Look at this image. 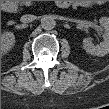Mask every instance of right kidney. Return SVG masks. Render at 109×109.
<instances>
[{"label": "right kidney", "mask_w": 109, "mask_h": 109, "mask_svg": "<svg viewBox=\"0 0 109 109\" xmlns=\"http://www.w3.org/2000/svg\"><path fill=\"white\" fill-rule=\"evenodd\" d=\"M15 41L14 34L12 32H4L1 36V50L6 53L13 46Z\"/></svg>", "instance_id": "obj_1"}]
</instances>
